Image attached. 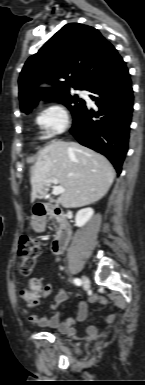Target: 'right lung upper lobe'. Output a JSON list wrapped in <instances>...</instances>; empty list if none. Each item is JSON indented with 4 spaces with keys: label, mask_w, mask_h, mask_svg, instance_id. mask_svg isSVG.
<instances>
[{
    "label": "right lung upper lobe",
    "mask_w": 145,
    "mask_h": 385,
    "mask_svg": "<svg viewBox=\"0 0 145 385\" xmlns=\"http://www.w3.org/2000/svg\"><path fill=\"white\" fill-rule=\"evenodd\" d=\"M126 68L116 49L90 26L70 23L62 27L25 63L19 77L21 110H31L39 99L51 100L71 88L90 90ZM59 86L40 91V82Z\"/></svg>",
    "instance_id": "obj_1"
}]
</instances>
